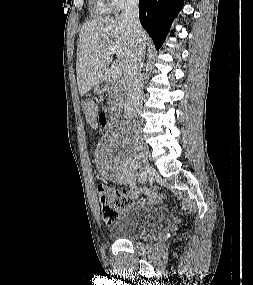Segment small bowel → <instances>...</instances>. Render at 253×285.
Returning a JSON list of instances; mask_svg holds the SVG:
<instances>
[{"label": "small bowel", "mask_w": 253, "mask_h": 285, "mask_svg": "<svg viewBox=\"0 0 253 285\" xmlns=\"http://www.w3.org/2000/svg\"><path fill=\"white\" fill-rule=\"evenodd\" d=\"M97 122H99V126H108V109H99V113H97ZM128 193L136 200L138 205L159 204L164 199L162 194L146 187L136 188L135 191L130 189L128 190Z\"/></svg>", "instance_id": "obj_1"}]
</instances>
